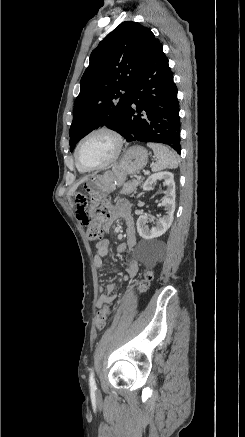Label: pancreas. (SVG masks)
I'll return each instance as SVG.
<instances>
[{"label":"pancreas","mask_w":245,"mask_h":437,"mask_svg":"<svg viewBox=\"0 0 245 437\" xmlns=\"http://www.w3.org/2000/svg\"><path fill=\"white\" fill-rule=\"evenodd\" d=\"M141 179H133L124 184V187L120 191L122 195H128L136 191L137 187L141 184Z\"/></svg>","instance_id":"1"}]
</instances>
